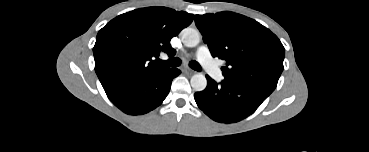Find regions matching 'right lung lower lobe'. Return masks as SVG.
<instances>
[{"instance_id": "right-lung-lower-lobe-1", "label": "right lung lower lobe", "mask_w": 369, "mask_h": 152, "mask_svg": "<svg viewBox=\"0 0 369 152\" xmlns=\"http://www.w3.org/2000/svg\"><path fill=\"white\" fill-rule=\"evenodd\" d=\"M180 74L177 68H169L156 75L134 80L110 93L111 102L123 112L141 115L158 107L169 93L173 78Z\"/></svg>"}]
</instances>
